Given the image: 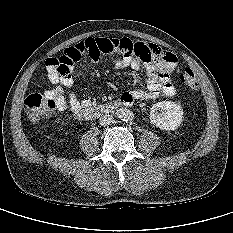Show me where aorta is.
<instances>
[{"label": "aorta", "mask_w": 233, "mask_h": 233, "mask_svg": "<svg viewBox=\"0 0 233 233\" xmlns=\"http://www.w3.org/2000/svg\"><path fill=\"white\" fill-rule=\"evenodd\" d=\"M116 116L122 120V121H125V122H129V121H132L133 118H134V114L126 109V108H120L116 111Z\"/></svg>", "instance_id": "obj_1"}]
</instances>
